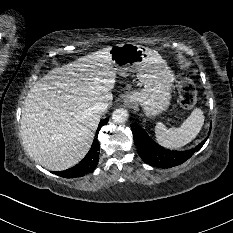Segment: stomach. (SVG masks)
I'll return each instance as SVG.
<instances>
[{
    "label": "stomach",
    "mask_w": 233,
    "mask_h": 233,
    "mask_svg": "<svg viewBox=\"0 0 233 233\" xmlns=\"http://www.w3.org/2000/svg\"><path fill=\"white\" fill-rule=\"evenodd\" d=\"M110 57L118 74L136 73L143 84V89L126 96V103L140 105L148 117H155L168 108L175 78L157 53L141 45L123 43L110 48Z\"/></svg>",
    "instance_id": "0dacf381"
}]
</instances>
